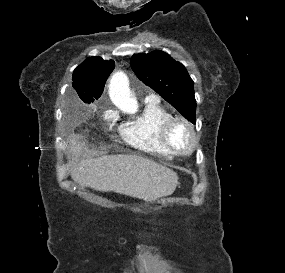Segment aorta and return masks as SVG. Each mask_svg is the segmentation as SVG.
<instances>
[{"mask_svg":"<svg viewBox=\"0 0 285 273\" xmlns=\"http://www.w3.org/2000/svg\"><path fill=\"white\" fill-rule=\"evenodd\" d=\"M109 96L113 104L123 112L136 113L138 111V102L130 91L125 73L117 72L112 76Z\"/></svg>","mask_w":285,"mask_h":273,"instance_id":"obj_1","label":"aorta"}]
</instances>
